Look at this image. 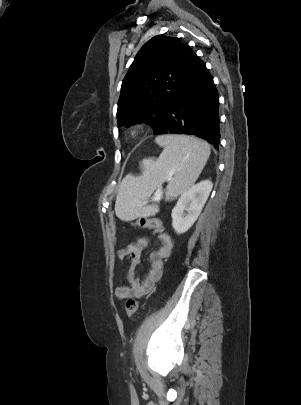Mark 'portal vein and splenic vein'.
I'll list each match as a JSON object with an SVG mask.
<instances>
[{"label":"portal vein and splenic vein","instance_id":"1","mask_svg":"<svg viewBox=\"0 0 301 405\" xmlns=\"http://www.w3.org/2000/svg\"><path fill=\"white\" fill-rule=\"evenodd\" d=\"M161 198V190H157L154 194L153 200L154 201H159Z\"/></svg>","mask_w":301,"mask_h":405}]
</instances>
